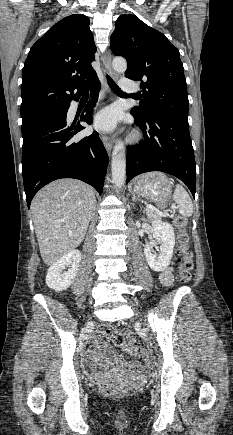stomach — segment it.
Masks as SVG:
<instances>
[{"label":"stomach","mask_w":233,"mask_h":435,"mask_svg":"<svg viewBox=\"0 0 233 435\" xmlns=\"http://www.w3.org/2000/svg\"><path fill=\"white\" fill-rule=\"evenodd\" d=\"M133 190L138 195L164 207L170 199L172 183L165 174L150 172L135 181Z\"/></svg>","instance_id":"obj_1"}]
</instances>
